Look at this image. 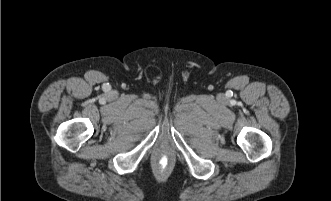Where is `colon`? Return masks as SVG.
<instances>
[{
    "label": "colon",
    "mask_w": 331,
    "mask_h": 201,
    "mask_svg": "<svg viewBox=\"0 0 331 201\" xmlns=\"http://www.w3.org/2000/svg\"><path fill=\"white\" fill-rule=\"evenodd\" d=\"M171 164L172 161L167 155H161L156 159V165L160 169H168Z\"/></svg>",
    "instance_id": "5ec220e1"
}]
</instances>
